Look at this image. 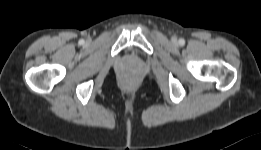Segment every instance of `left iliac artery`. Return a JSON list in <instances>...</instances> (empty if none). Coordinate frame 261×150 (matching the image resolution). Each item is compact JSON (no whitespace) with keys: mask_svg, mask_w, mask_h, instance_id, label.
Listing matches in <instances>:
<instances>
[{"mask_svg":"<svg viewBox=\"0 0 261 150\" xmlns=\"http://www.w3.org/2000/svg\"><path fill=\"white\" fill-rule=\"evenodd\" d=\"M179 44H180V45H184V44H185V40H184V39H180V40H179Z\"/></svg>","mask_w":261,"mask_h":150,"instance_id":"obj_1","label":"left iliac artery"}]
</instances>
